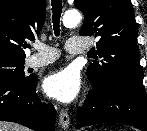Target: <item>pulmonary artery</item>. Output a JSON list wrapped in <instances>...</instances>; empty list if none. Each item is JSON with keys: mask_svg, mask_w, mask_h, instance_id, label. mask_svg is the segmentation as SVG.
<instances>
[{"mask_svg": "<svg viewBox=\"0 0 147 131\" xmlns=\"http://www.w3.org/2000/svg\"><path fill=\"white\" fill-rule=\"evenodd\" d=\"M37 53L29 56L26 60L28 67L37 68L54 62L59 56V50L40 42L34 44ZM66 51L70 54H81L86 51V43L79 38H69L66 42Z\"/></svg>", "mask_w": 147, "mask_h": 131, "instance_id": "e3ab8cb5", "label": "pulmonary artery"}]
</instances>
